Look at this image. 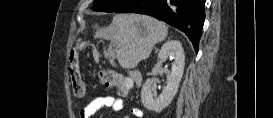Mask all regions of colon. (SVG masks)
Returning <instances> with one entry per match:
<instances>
[{
  "mask_svg": "<svg viewBox=\"0 0 273 118\" xmlns=\"http://www.w3.org/2000/svg\"><path fill=\"white\" fill-rule=\"evenodd\" d=\"M68 76L74 94L79 98L83 97L85 93V85L78 64V47L72 50V56L69 59L68 65ZM98 79L106 87L116 88L121 93H126L131 85L128 78L115 72L99 73Z\"/></svg>",
  "mask_w": 273,
  "mask_h": 118,
  "instance_id": "obj_1",
  "label": "colon"
}]
</instances>
